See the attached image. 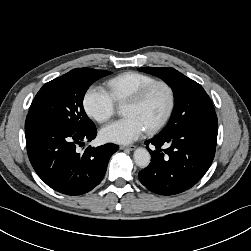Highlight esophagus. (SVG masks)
Returning <instances> with one entry per match:
<instances>
[{
  "label": "esophagus",
  "instance_id": "obj_1",
  "mask_svg": "<svg viewBox=\"0 0 251 251\" xmlns=\"http://www.w3.org/2000/svg\"><path fill=\"white\" fill-rule=\"evenodd\" d=\"M136 148L134 145H129V146H120L121 150H130L133 151Z\"/></svg>",
  "mask_w": 251,
  "mask_h": 251
}]
</instances>
